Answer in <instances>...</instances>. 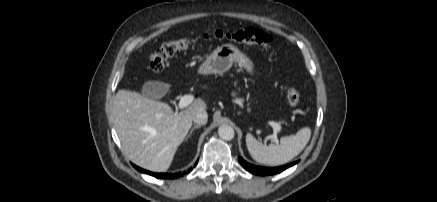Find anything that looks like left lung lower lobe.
I'll return each mask as SVG.
<instances>
[{"instance_id":"1","label":"left lung lower lobe","mask_w":437,"mask_h":202,"mask_svg":"<svg viewBox=\"0 0 437 202\" xmlns=\"http://www.w3.org/2000/svg\"><path fill=\"white\" fill-rule=\"evenodd\" d=\"M239 162L243 166V168H245L247 171H249L252 174H256V175H260V176L273 175V174L280 173V172L284 171L285 169L298 163V161H295L293 163H290V164H287L284 166L269 168V167L255 166L253 164L246 162L243 158H239Z\"/></svg>"}]
</instances>
